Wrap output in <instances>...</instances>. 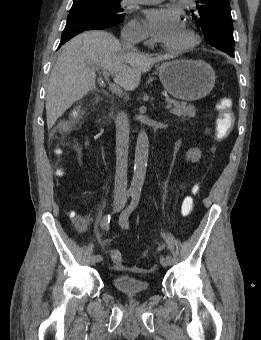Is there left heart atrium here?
<instances>
[{
	"instance_id": "1",
	"label": "left heart atrium",
	"mask_w": 261,
	"mask_h": 340,
	"mask_svg": "<svg viewBox=\"0 0 261 340\" xmlns=\"http://www.w3.org/2000/svg\"><path fill=\"white\" fill-rule=\"evenodd\" d=\"M144 14L149 34L160 44L168 45L182 29L180 15L172 8H151Z\"/></svg>"
}]
</instances>
